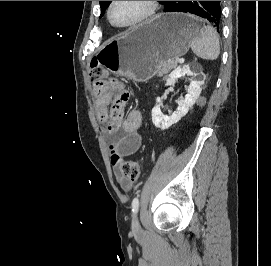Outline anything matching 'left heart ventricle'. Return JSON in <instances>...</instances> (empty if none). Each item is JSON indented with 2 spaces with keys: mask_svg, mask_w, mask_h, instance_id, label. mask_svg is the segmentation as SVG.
<instances>
[{
  "mask_svg": "<svg viewBox=\"0 0 271 266\" xmlns=\"http://www.w3.org/2000/svg\"><path fill=\"white\" fill-rule=\"evenodd\" d=\"M146 9V1H115L111 17L114 23L125 25L141 17Z\"/></svg>",
  "mask_w": 271,
  "mask_h": 266,
  "instance_id": "obj_1",
  "label": "left heart ventricle"
}]
</instances>
